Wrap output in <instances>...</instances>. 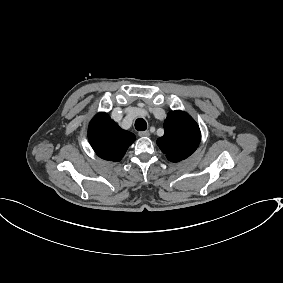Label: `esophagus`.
Masks as SVG:
<instances>
[{
	"mask_svg": "<svg viewBox=\"0 0 283 283\" xmlns=\"http://www.w3.org/2000/svg\"><path fill=\"white\" fill-rule=\"evenodd\" d=\"M139 136L140 137H148V136H150V133H149V131H140Z\"/></svg>",
	"mask_w": 283,
	"mask_h": 283,
	"instance_id": "34e87169",
	"label": "esophagus"
}]
</instances>
